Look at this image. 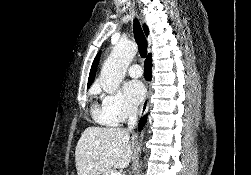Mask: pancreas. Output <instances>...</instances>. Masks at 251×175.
I'll use <instances>...</instances> for the list:
<instances>
[{"label":"pancreas","instance_id":"pancreas-1","mask_svg":"<svg viewBox=\"0 0 251 175\" xmlns=\"http://www.w3.org/2000/svg\"><path fill=\"white\" fill-rule=\"evenodd\" d=\"M111 169H103V175H110Z\"/></svg>","mask_w":251,"mask_h":175}]
</instances>
